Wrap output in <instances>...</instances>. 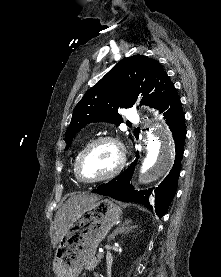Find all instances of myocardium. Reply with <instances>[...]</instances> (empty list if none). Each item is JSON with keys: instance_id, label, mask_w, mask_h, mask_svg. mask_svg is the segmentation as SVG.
Here are the masks:
<instances>
[{"instance_id": "f54148a6", "label": "myocardium", "mask_w": 221, "mask_h": 277, "mask_svg": "<svg viewBox=\"0 0 221 277\" xmlns=\"http://www.w3.org/2000/svg\"><path fill=\"white\" fill-rule=\"evenodd\" d=\"M102 143H110L116 148L117 154H118L117 164L110 172H108L107 174L101 177L94 178V179H86L81 175V172H80L81 162L85 157V155L90 150H92L94 147ZM125 161H126V153L122 142L118 138L113 136H101L92 140L80 151L74 163V173L76 178L83 183H87V184L99 183L116 176L123 169L125 165Z\"/></svg>"}]
</instances>
